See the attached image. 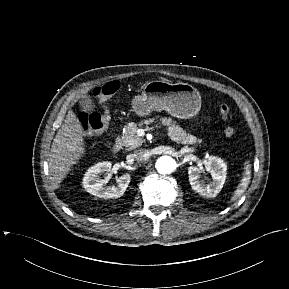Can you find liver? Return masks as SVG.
Wrapping results in <instances>:
<instances>
[{"mask_svg": "<svg viewBox=\"0 0 289 289\" xmlns=\"http://www.w3.org/2000/svg\"><path fill=\"white\" fill-rule=\"evenodd\" d=\"M83 127L76 114L69 110L58 130L49 159L50 180L53 189H58L70 168L83 156Z\"/></svg>", "mask_w": 289, "mask_h": 289, "instance_id": "1", "label": "liver"}]
</instances>
